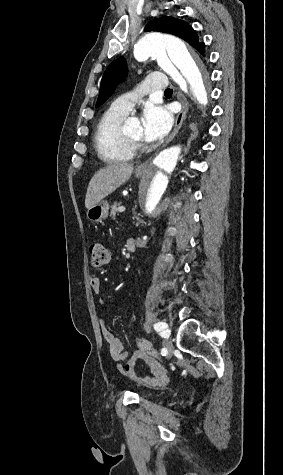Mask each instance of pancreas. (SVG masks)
<instances>
[{
  "label": "pancreas",
  "mask_w": 283,
  "mask_h": 475,
  "mask_svg": "<svg viewBox=\"0 0 283 475\" xmlns=\"http://www.w3.org/2000/svg\"><path fill=\"white\" fill-rule=\"evenodd\" d=\"M121 204L122 202H114L113 206H111L110 216L111 218H113V220H115V216L117 212H119V208H121Z\"/></svg>",
  "instance_id": "1"
}]
</instances>
